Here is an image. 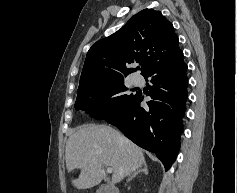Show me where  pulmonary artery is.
I'll list each match as a JSON object with an SVG mask.
<instances>
[{
  "instance_id": "obj_1",
  "label": "pulmonary artery",
  "mask_w": 237,
  "mask_h": 193,
  "mask_svg": "<svg viewBox=\"0 0 237 193\" xmlns=\"http://www.w3.org/2000/svg\"><path fill=\"white\" fill-rule=\"evenodd\" d=\"M133 83L135 85H140L142 83V78L140 76H134L133 77Z\"/></svg>"
}]
</instances>
